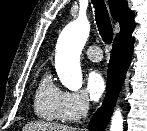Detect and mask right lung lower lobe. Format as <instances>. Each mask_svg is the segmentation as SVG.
<instances>
[{"label":"right lung lower lobe","mask_w":147,"mask_h":131,"mask_svg":"<svg viewBox=\"0 0 147 131\" xmlns=\"http://www.w3.org/2000/svg\"><path fill=\"white\" fill-rule=\"evenodd\" d=\"M134 38L132 32L115 38L107 74V92L105 100L96 115L92 118L89 126H100L103 130L109 121L117 96L123 84L133 52Z\"/></svg>","instance_id":"right-lung-lower-lobe-1"}]
</instances>
